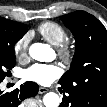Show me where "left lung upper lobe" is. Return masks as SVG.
<instances>
[{"label": "left lung upper lobe", "mask_w": 107, "mask_h": 107, "mask_svg": "<svg viewBox=\"0 0 107 107\" xmlns=\"http://www.w3.org/2000/svg\"><path fill=\"white\" fill-rule=\"evenodd\" d=\"M76 41V51L70 70L59 80L74 90L69 107H82L81 84L98 78L107 79V31L103 24L85 11H75L61 17Z\"/></svg>", "instance_id": "obj_1"}]
</instances>
